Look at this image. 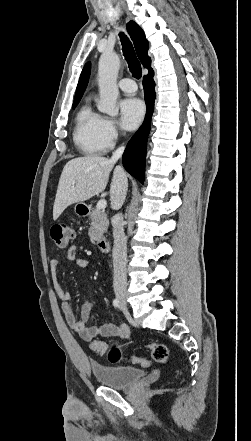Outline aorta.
Returning <instances> with one entry per match:
<instances>
[{"instance_id":"aorta-1","label":"aorta","mask_w":251,"mask_h":441,"mask_svg":"<svg viewBox=\"0 0 251 441\" xmlns=\"http://www.w3.org/2000/svg\"><path fill=\"white\" fill-rule=\"evenodd\" d=\"M120 66L119 56L114 53H103L98 65V86L100 101L98 110L109 116L118 114L117 98L119 90L117 86V76Z\"/></svg>"}]
</instances>
